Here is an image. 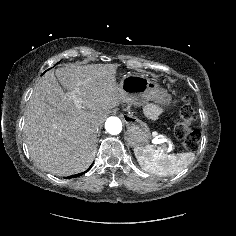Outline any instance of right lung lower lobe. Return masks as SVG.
<instances>
[{
    "instance_id": "1",
    "label": "right lung lower lobe",
    "mask_w": 236,
    "mask_h": 236,
    "mask_svg": "<svg viewBox=\"0 0 236 236\" xmlns=\"http://www.w3.org/2000/svg\"><path fill=\"white\" fill-rule=\"evenodd\" d=\"M88 171V170H87ZM85 172H83V173H80V174H76V175H73V176H69V177H67V178H74V177H78V176H80V175H82V174H84Z\"/></svg>"
}]
</instances>
